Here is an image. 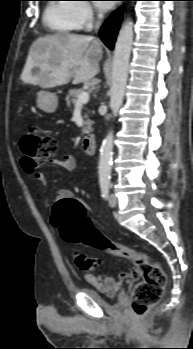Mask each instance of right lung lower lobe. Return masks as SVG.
I'll list each match as a JSON object with an SVG mask.
<instances>
[{
  "instance_id": "right-lung-lower-lobe-1",
  "label": "right lung lower lobe",
  "mask_w": 193,
  "mask_h": 349,
  "mask_svg": "<svg viewBox=\"0 0 193 349\" xmlns=\"http://www.w3.org/2000/svg\"><path fill=\"white\" fill-rule=\"evenodd\" d=\"M122 13L120 10L115 11L103 24L99 35L101 40L110 49L113 48L116 35L121 23Z\"/></svg>"
}]
</instances>
